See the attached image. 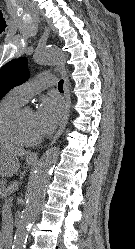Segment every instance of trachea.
<instances>
[{"label": "trachea", "instance_id": "obj_1", "mask_svg": "<svg viewBox=\"0 0 135 249\" xmlns=\"http://www.w3.org/2000/svg\"><path fill=\"white\" fill-rule=\"evenodd\" d=\"M58 89L60 91H63V80H60L59 83H58Z\"/></svg>", "mask_w": 135, "mask_h": 249}]
</instances>
